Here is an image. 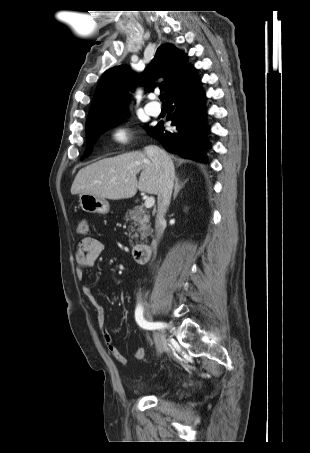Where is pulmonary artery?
<instances>
[{
  "label": "pulmonary artery",
  "instance_id": "e3ab8cb5",
  "mask_svg": "<svg viewBox=\"0 0 310 453\" xmlns=\"http://www.w3.org/2000/svg\"><path fill=\"white\" fill-rule=\"evenodd\" d=\"M145 110L152 116H158L161 111L159 107L153 106L151 103L145 106Z\"/></svg>",
  "mask_w": 310,
  "mask_h": 453
}]
</instances>
